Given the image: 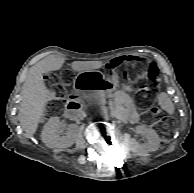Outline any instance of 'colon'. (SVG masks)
I'll return each instance as SVG.
<instances>
[{
    "instance_id": "obj_1",
    "label": "colon",
    "mask_w": 194,
    "mask_h": 193,
    "mask_svg": "<svg viewBox=\"0 0 194 193\" xmlns=\"http://www.w3.org/2000/svg\"><path fill=\"white\" fill-rule=\"evenodd\" d=\"M107 70L115 71L123 80H134L139 78L145 83L138 96L141 108L147 113V121L155 125L163 139H168L173 130V122L165 117L160 109L152 104V94L158 85L159 71L155 64H147L140 67L135 58H116L106 66ZM71 79L69 71H63L60 75L49 74L46 85L50 97V110H60L65 102L67 84Z\"/></svg>"
}]
</instances>
